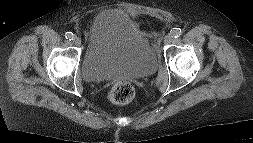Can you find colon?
Segmentation results:
<instances>
[{"label":"colon","instance_id":"colon-1","mask_svg":"<svg viewBox=\"0 0 253 143\" xmlns=\"http://www.w3.org/2000/svg\"><path fill=\"white\" fill-rule=\"evenodd\" d=\"M135 90L128 81H117L113 83L108 91V98L115 104H127L134 98Z\"/></svg>","mask_w":253,"mask_h":143}]
</instances>
